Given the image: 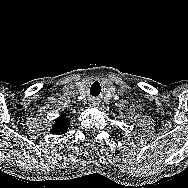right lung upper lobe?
<instances>
[{
	"mask_svg": "<svg viewBox=\"0 0 188 188\" xmlns=\"http://www.w3.org/2000/svg\"><path fill=\"white\" fill-rule=\"evenodd\" d=\"M70 125V120L63 116H59L55 120V124L52 126V129L50 130L52 134H63L67 131L68 126Z\"/></svg>",
	"mask_w": 188,
	"mask_h": 188,
	"instance_id": "cb5924a9",
	"label": "right lung upper lobe"
}]
</instances>
